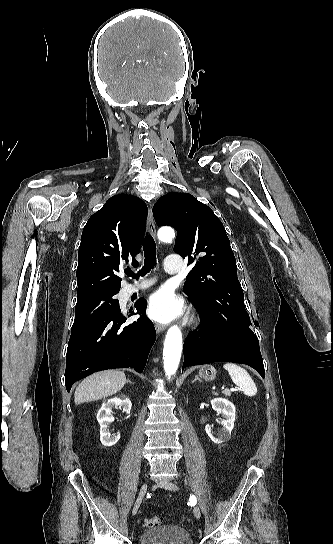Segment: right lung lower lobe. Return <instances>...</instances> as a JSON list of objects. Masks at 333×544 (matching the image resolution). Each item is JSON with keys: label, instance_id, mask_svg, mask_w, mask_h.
<instances>
[{"label": "right lung lower lobe", "instance_id": "98d812e1", "mask_svg": "<svg viewBox=\"0 0 333 544\" xmlns=\"http://www.w3.org/2000/svg\"><path fill=\"white\" fill-rule=\"evenodd\" d=\"M146 306L143 298L137 300L135 307L142 317L129 325L118 310L71 332L65 370L68 392L76 381L101 370L132 367L143 372L156 339Z\"/></svg>", "mask_w": 333, "mask_h": 544}]
</instances>
